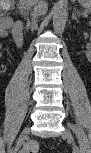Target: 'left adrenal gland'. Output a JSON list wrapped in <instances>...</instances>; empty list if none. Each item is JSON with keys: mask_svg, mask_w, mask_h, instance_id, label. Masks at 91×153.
<instances>
[{"mask_svg": "<svg viewBox=\"0 0 91 153\" xmlns=\"http://www.w3.org/2000/svg\"><path fill=\"white\" fill-rule=\"evenodd\" d=\"M72 19L78 23V18L76 17L75 13L72 14Z\"/></svg>", "mask_w": 91, "mask_h": 153, "instance_id": "obj_1", "label": "left adrenal gland"}]
</instances>
